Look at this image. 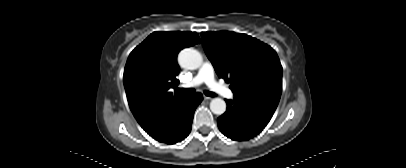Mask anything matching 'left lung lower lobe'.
<instances>
[{"instance_id":"left-lung-lower-lobe-1","label":"left lung lower lobe","mask_w":406,"mask_h":168,"mask_svg":"<svg viewBox=\"0 0 406 168\" xmlns=\"http://www.w3.org/2000/svg\"><path fill=\"white\" fill-rule=\"evenodd\" d=\"M227 110L217 119L220 131L232 140H248L259 134L270 121L274 109L238 99L226 100Z\"/></svg>"}]
</instances>
